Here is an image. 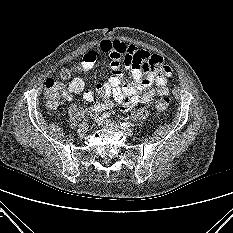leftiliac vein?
Listing matches in <instances>:
<instances>
[{"instance_id":"1","label":"left iliac vein","mask_w":233,"mask_h":233,"mask_svg":"<svg viewBox=\"0 0 233 233\" xmlns=\"http://www.w3.org/2000/svg\"><path fill=\"white\" fill-rule=\"evenodd\" d=\"M95 120L99 125H101L104 128L112 129L114 131L124 132L128 135L133 134V131L131 129H129L127 127L120 126L117 123L108 121V120L104 119L103 117L99 116L98 114H96Z\"/></svg>"}]
</instances>
